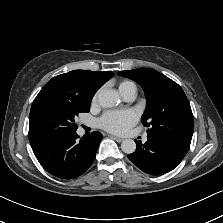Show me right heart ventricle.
Returning <instances> with one entry per match:
<instances>
[{"instance_id": "e07e8e85", "label": "right heart ventricle", "mask_w": 223, "mask_h": 223, "mask_svg": "<svg viewBox=\"0 0 223 223\" xmlns=\"http://www.w3.org/2000/svg\"><path fill=\"white\" fill-rule=\"evenodd\" d=\"M129 88H135V89H136L134 83H132V82H130V81H123V82L120 84V87H119L121 93H122L123 91L129 89Z\"/></svg>"}]
</instances>
